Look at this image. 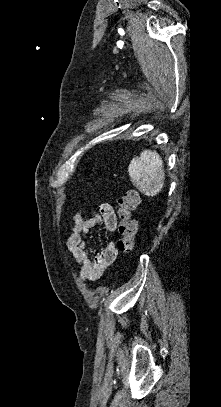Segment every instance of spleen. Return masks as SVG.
Masks as SVG:
<instances>
[{
    "label": "spleen",
    "mask_w": 221,
    "mask_h": 407,
    "mask_svg": "<svg viewBox=\"0 0 221 407\" xmlns=\"http://www.w3.org/2000/svg\"><path fill=\"white\" fill-rule=\"evenodd\" d=\"M133 185L146 196H156L163 188L165 172L160 155L144 150L140 157H134L128 167Z\"/></svg>",
    "instance_id": "3e777b00"
}]
</instances>
